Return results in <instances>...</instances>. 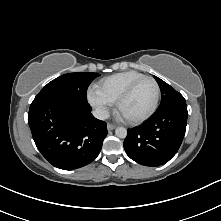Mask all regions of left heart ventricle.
Instances as JSON below:
<instances>
[{
    "mask_svg": "<svg viewBox=\"0 0 221 221\" xmlns=\"http://www.w3.org/2000/svg\"><path fill=\"white\" fill-rule=\"evenodd\" d=\"M155 85L150 80L140 82L122 106L124 117L135 118L146 113L155 99Z\"/></svg>",
    "mask_w": 221,
    "mask_h": 221,
    "instance_id": "b2bd125f",
    "label": "left heart ventricle"
}]
</instances>
